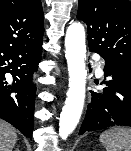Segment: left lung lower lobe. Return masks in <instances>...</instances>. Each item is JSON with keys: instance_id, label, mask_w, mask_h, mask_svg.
<instances>
[{"instance_id": "obj_1", "label": "left lung lower lobe", "mask_w": 131, "mask_h": 151, "mask_svg": "<svg viewBox=\"0 0 131 151\" xmlns=\"http://www.w3.org/2000/svg\"><path fill=\"white\" fill-rule=\"evenodd\" d=\"M104 75L108 79L101 82L103 92L91 91L79 134L113 126L131 127V73L105 62Z\"/></svg>"}]
</instances>
